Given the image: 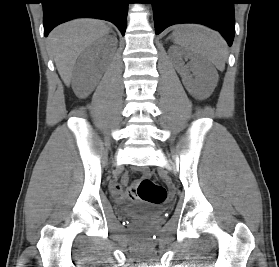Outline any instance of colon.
I'll use <instances>...</instances> for the list:
<instances>
[{
  "instance_id": "1",
  "label": "colon",
  "mask_w": 279,
  "mask_h": 267,
  "mask_svg": "<svg viewBox=\"0 0 279 267\" xmlns=\"http://www.w3.org/2000/svg\"><path fill=\"white\" fill-rule=\"evenodd\" d=\"M136 187L137 190L133 192H138V197L136 198L142 201L161 204L166 199V189L162 185L152 181L145 173L137 182Z\"/></svg>"
}]
</instances>
